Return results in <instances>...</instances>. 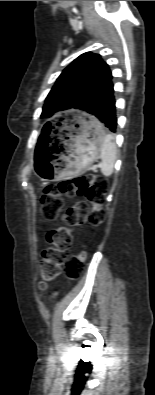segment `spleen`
Masks as SVG:
<instances>
[{
	"label": "spleen",
	"mask_w": 155,
	"mask_h": 395,
	"mask_svg": "<svg viewBox=\"0 0 155 395\" xmlns=\"http://www.w3.org/2000/svg\"><path fill=\"white\" fill-rule=\"evenodd\" d=\"M113 136L111 134H106L101 146L100 152V167L101 172L105 176H110L114 170V164L116 161V144L113 142Z\"/></svg>",
	"instance_id": "obj_1"
}]
</instances>
